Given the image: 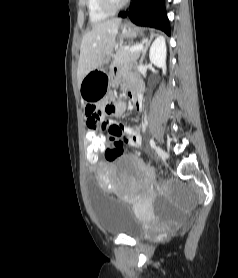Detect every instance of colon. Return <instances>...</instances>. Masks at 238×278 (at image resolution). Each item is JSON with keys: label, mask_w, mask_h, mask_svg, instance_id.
<instances>
[{"label": "colon", "mask_w": 238, "mask_h": 278, "mask_svg": "<svg viewBox=\"0 0 238 278\" xmlns=\"http://www.w3.org/2000/svg\"><path fill=\"white\" fill-rule=\"evenodd\" d=\"M112 104V103H109ZM111 115L112 113H108ZM85 162H98L100 156H105L108 161L115 160L123 153V144L117 142L115 144H106L105 137H98L95 130L85 131Z\"/></svg>", "instance_id": "1"}]
</instances>
